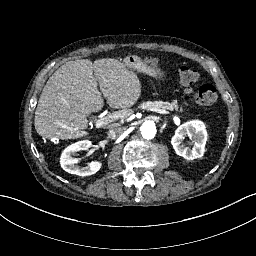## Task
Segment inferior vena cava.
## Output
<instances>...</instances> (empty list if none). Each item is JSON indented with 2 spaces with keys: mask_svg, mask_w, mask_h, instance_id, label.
<instances>
[{
  "mask_svg": "<svg viewBox=\"0 0 256 256\" xmlns=\"http://www.w3.org/2000/svg\"><path fill=\"white\" fill-rule=\"evenodd\" d=\"M126 131H127L126 127H121V126L114 127L109 129L108 137L111 139H115L124 135Z\"/></svg>",
  "mask_w": 256,
  "mask_h": 256,
  "instance_id": "inferior-vena-cava-1",
  "label": "inferior vena cava"
}]
</instances>
